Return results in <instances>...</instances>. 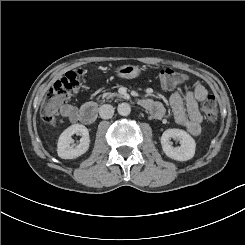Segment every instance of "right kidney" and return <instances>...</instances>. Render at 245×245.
<instances>
[{
	"label": "right kidney",
	"mask_w": 245,
	"mask_h": 245,
	"mask_svg": "<svg viewBox=\"0 0 245 245\" xmlns=\"http://www.w3.org/2000/svg\"><path fill=\"white\" fill-rule=\"evenodd\" d=\"M77 134L81 136L80 143L74 144L72 135ZM89 132L88 129L82 124H74L69 126L60 135L57 152L58 156L62 159H74L84 154L89 148Z\"/></svg>",
	"instance_id": "1"
}]
</instances>
